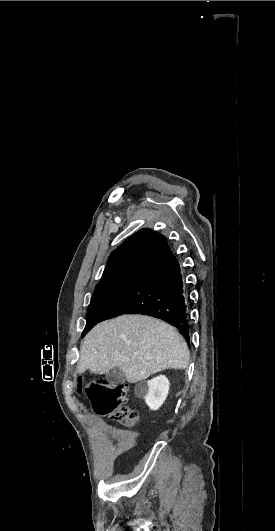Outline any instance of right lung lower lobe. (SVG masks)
I'll return each mask as SVG.
<instances>
[{
	"label": "right lung lower lobe",
	"instance_id": "1",
	"mask_svg": "<svg viewBox=\"0 0 275 531\" xmlns=\"http://www.w3.org/2000/svg\"><path fill=\"white\" fill-rule=\"evenodd\" d=\"M143 314L173 325L189 343L188 297L179 262L168 247L105 312L102 321Z\"/></svg>",
	"mask_w": 275,
	"mask_h": 531
}]
</instances>
